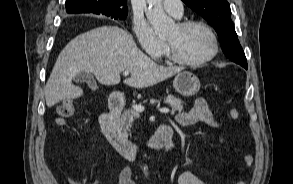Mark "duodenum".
Segmentation results:
<instances>
[{
  "mask_svg": "<svg viewBox=\"0 0 293 184\" xmlns=\"http://www.w3.org/2000/svg\"><path fill=\"white\" fill-rule=\"evenodd\" d=\"M125 105V98L121 94H113L108 100L109 110L99 117L100 126L110 144L125 158L133 160L139 151L138 145L129 140L117 128L116 122ZM153 150L169 151L173 148L172 128L162 124L147 142Z\"/></svg>",
  "mask_w": 293,
  "mask_h": 184,
  "instance_id": "duodenum-1",
  "label": "duodenum"
}]
</instances>
